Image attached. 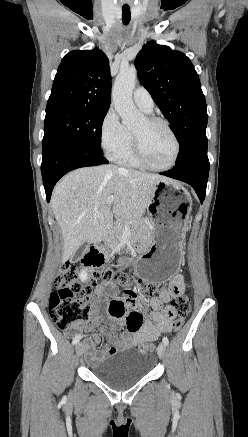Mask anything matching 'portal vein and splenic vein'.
<instances>
[{"label":"portal vein and splenic vein","instance_id":"portal-vein-and-splenic-vein-1","mask_svg":"<svg viewBox=\"0 0 248 437\" xmlns=\"http://www.w3.org/2000/svg\"><path fill=\"white\" fill-rule=\"evenodd\" d=\"M114 200H115L114 196H110V197H108V198H107V204H108L109 206L112 205L113 202H114ZM128 224H132V221H129ZM128 228H129V226H125V229H128Z\"/></svg>","mask_w":248,"mask_h":437}]
</instances>
